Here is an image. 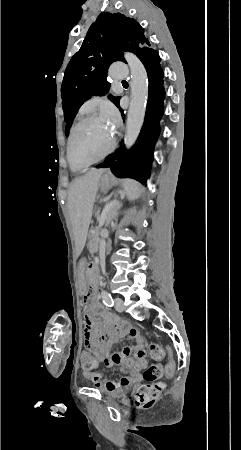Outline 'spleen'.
Wrapping results in <instances>:
<instances>
[{
  "label": "spleen",
  "instance_id": "3e777b00",
  "mask_svg": "<svg viewBox=\"0 0 241 450\" xmlns=\"http://www.w3.org/2000/svg\"><path fill=\"white\" fill-rule=\"evenodd\" d=\"M125 196L128 200H137L141 194V186L134 180H124L123 182Z\"/></svg>",
  "mask_w": 241,
  "mask_h": 450
}]
</instances>
